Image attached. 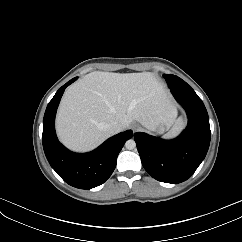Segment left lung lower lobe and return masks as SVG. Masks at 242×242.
<instances>
[{
	"mask_svg": "<svg viewBox=\"0 0 242 242\" xmlns=\"http://www.w3.org/2000/svg\"><path fill=\"white\" fill-rule=\"evenodd\" d=\"M170 90L187 113L186 129L173 140L142 132L134 139L145 170L156 180L177 184L190 178L205 158L211 132L206 108L194 90Z\"/></svg>",
	"mask_w": 242,
	"mask_h": 242,
	"instance_id": "1",
	"label": "left lung lower lobe"
}]
</instances>
